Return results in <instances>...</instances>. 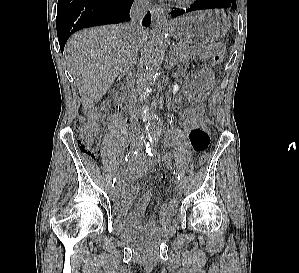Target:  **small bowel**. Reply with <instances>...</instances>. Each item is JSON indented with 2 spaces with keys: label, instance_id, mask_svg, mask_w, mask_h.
<instances>
[{
  "label": "small bowel",
  "instance_id": "small-bowel-1",
  "mask_svg": "<svg viewBox=\"0 0 299 273\" xmlns=\"http://www.w3.org/2000/svg\"><path fill=\"white\" fill-rule=\"evenodd\" d=\"M174 100L178 104L179 113L186 119L190 113V100L186 96L179 93L178 88H174ZM189 141L192 149L197 152H203L209 144V134L207 128L202 124L198 127L187 128ZM153 167V162L146 158H137L128 165L124 177L119 184L117 193V203L119 208L126 213H130L137 219H141L153 198V191H147L137 202L135 207L131 209L134 196L139 190L137 185H130L129 183L137 180L146 174ZM161 180L165 179V174L160 177ZM176 211V207L165 203L162 205L159 213L160 219L171 217Z\"/></svg>",
  "mask_w": 299,
  "mask_h": 273
}]
</instances>
